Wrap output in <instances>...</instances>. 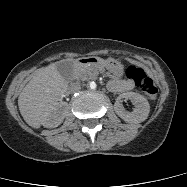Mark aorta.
<instances>
[{
	"label": "aorta",
	"mask_w": 187,
	"mask_h": 187,
	"mask_svg": "<svg viewBox=\"0 0 187 187\" xmlns=\"http://www.w3.org/2000/svg\"><path fill=\"white\" fill-rule=\"evenodd\" d=\"M90 88H91V89H95V88H96V84H95L94 82H91V83H90Z\"/></svg>",
	"instance_id": "1"
}]
</instances>
